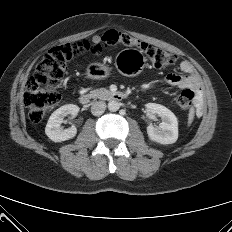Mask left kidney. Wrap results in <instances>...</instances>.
Returning <instances> with one entry per match:
<instances>
[{"mask_svg":"<svg viewBox=\"0 0 232 232\" xmlns=\"http://www.w3.org/2000/svg\"><path fill=\"white\" fill-rule=\"evenodd\" d=\"M145 106L148 113L157 114L162 119L159 128H155L151 124L148 125L149 139L160 144L175 143L178 139V121L174 113L165 106L156 103H148Z\"/></svg>","mask_w":232,"mask_h":232,"instance_id":"1","label":"left kidney"}]
</instances>
